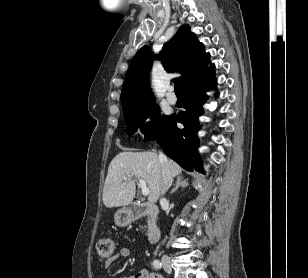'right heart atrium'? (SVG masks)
<instances>
[{"label": "right heart atrium", "instance_id": "right-heart-atrium-1", "mask_svg": "<svg viewBox=\"0 0 308 278\" xmlns=\"http://www.w3.org/2000/svg\"><path fill=\"white\" fill-rule=\"evenodd\" d=\"M156 120V114L154 111L149 110L145 113L143 119H142V126L145 128H150L154 125Z\"/></svg>", "mask_w": 308, "mask_h": 278}]
</instances>
